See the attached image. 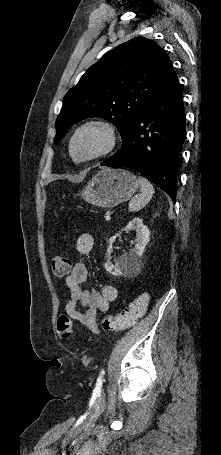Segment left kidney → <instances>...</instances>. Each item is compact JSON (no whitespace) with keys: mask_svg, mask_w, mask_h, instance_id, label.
<instances>
[{"mask_svg":"<svg viewBox=\"0 0 221 455\" xmlns=\"http://www.w3.org/2000/svg\"><path fill=\"white\" fill-rule=\"evenodd\" d=\"M136 232L135 238V248L129 254H124L119 258L115 265L111 262V253H112V244L115 242L116 238L121 234V232L115 234L109 239V247L107 249V262L105 263V269L115 276H120L124 273H130L139 267L141 262V256L144 252V249L150 239V231L147 226L143 224L141 218H134L131 220L127 226L122 231H131Z\"/></svg>","mask_w":221,"mask_h":455,"instance_id":"left-kidney-1","label":"left kidney"}]
</instances>
